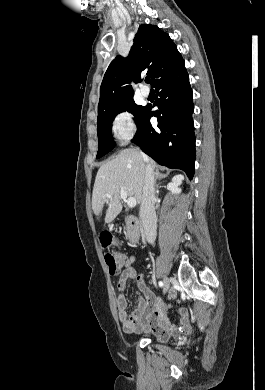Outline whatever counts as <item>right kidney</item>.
Masks as SVG:
<instances>
[{
	"instance_id": "1",
	"label": "right kidney",
	"mask_w": 265,
	"mask_h": 390,
	"mask_svg": "<svg viewBox=\"0 0 265 390\" xmlns=\"http://www.w3.org/2000/svg\"><path fill=\"white\" fill-rule=\"evenodd\" d=\"M184 180L183 175H176L172 178V181L168 183L167 190H169L172 194H180L181 189L179 186L182 184V181Z\"/></svg>"
}]
</instances>
